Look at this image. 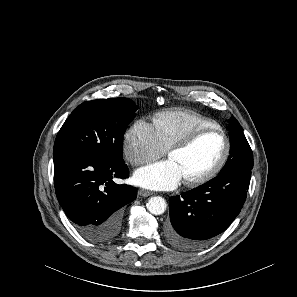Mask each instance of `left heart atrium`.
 <instances>
[{"mask_svg": "<svg viewBox=\"0 0 297 297\" xmlns=\"http://www.w3.org/2000/svg\"><path fill=\"white\" fill-rule=\"evenodd\" d=\"M184 180L180 166L172 159L163 160L138 169L133 181L145 188L171 190Z\"/></svg>", "mask_w": 297, "mask_h": 297, "instance_id": "left-heart-atrium-1", "label": "left heart atrium"}]
</instances>
